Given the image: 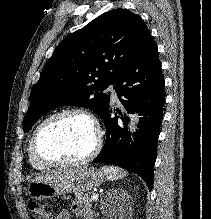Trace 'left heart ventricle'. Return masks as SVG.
Segmentation results:
<instances>
[{"label":"left heart ventricle","instance_id":"b2bd125f","mask_svg":"<svg viewBox=\"0 0 211 219\" xmlns=\"http://www.w3.org/2000/svg\"><path fill=\"white\" fill-rule=\"evenodd\" d=\"M91 125L77 116H64L42 131L37 149L47 159L71 161L86 156L94 145Z\"/></svg>","mask_w":211,"mask_h":219}]
</instances>
